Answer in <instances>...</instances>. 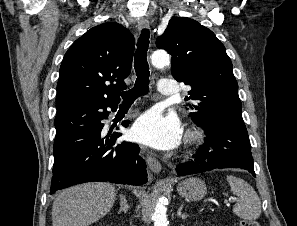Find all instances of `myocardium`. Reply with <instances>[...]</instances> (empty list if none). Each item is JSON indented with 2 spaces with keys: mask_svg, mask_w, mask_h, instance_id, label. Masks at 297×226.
<instances>
[{
  "mask_svg": "<svg viewBox=\"0 0 297 226\" xmlns=\"http://www.w3.org/2000/svg\"><path fill=\"white\" fill-rule=\"evenodd\" d=\"M205 140L204 133L199 129H189L185 135V144L188 152H193L197 149Z\"/></svg>",
  "mask_w": 297,
  "mask_h": 226,
  "instance_id": "obj_1",
  "label": "myocardium"
}]
</instances>
